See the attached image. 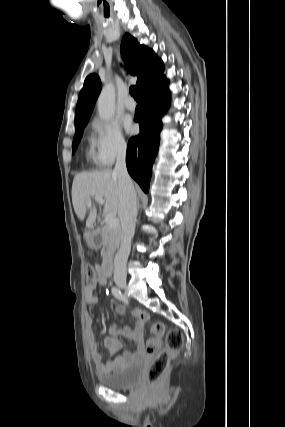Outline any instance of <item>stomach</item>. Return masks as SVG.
<instances>
[{"mask_svg":"<svg viewBox=\"0 0 285 427\" xmlns=\"http://www.w3.org/2000/svg\"><path fill=\"white\" fill-rule=\"evenodd\" d=\"M84 236L87 241V244L91 248H97L101 243L99 232L97 230L86 231Z\"/></svg>","mask_w":285,"mask_h":427,"instance_id":"stomach-1","label":"stomach"}]
</instances>
